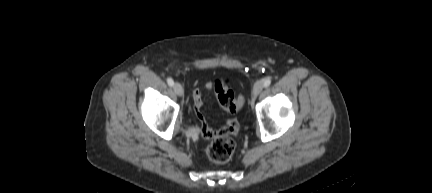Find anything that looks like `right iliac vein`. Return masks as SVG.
<instances>
[{
	"label": "right iliac vein",
	"instance_id": "63e3f726",
	"mask_svg": "<svg viewBox=\"0 0 432 193\" xmlns=\"http://www.w3.org/2000/svg\"><path fill=\"white\" fill-rule=\"evenodd\" d=\"M173 89H174V91H175V93L178 95V96H182L183 95V93H184V90H183V87H182V85L180 84V83H178V82H176L174 85H173Z\"/></svg>",
	"mask_w": 432,
	"mask_h": 193
}]
</instances>
